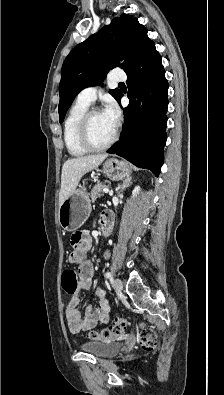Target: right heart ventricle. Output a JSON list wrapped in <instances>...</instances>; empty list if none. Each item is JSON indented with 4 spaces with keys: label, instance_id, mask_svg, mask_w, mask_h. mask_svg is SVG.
Here are the masks:
<instances>
[{
    "label": "right heart ventricle",
    "instance_id": "obj_1",
    "mask_svg": "<svg viewBox=\"0 0 224 395\" xmlns=\"http://www.w3.org/2000/svg\"><path fill=\"white\" fill-rule=\"evenodd\" d=\"M89 108V104L76 101L70 108L64 122V142L68 152L74 157H81L87 153L80 140L78 127L81 117Z\"/></svg>",
    "mask_w": 224,
    "mask_h": 395
}]
</instances>
